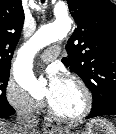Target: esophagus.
<instances>
[{
  "label": "esophagus",
  "mask_w": 116,
  "mask_h": 134,
  "mask_svg": "<svg viewBox=\"0 0 116 134\" xmlns=\"http://www.w3.org/2000/svg\"><path fill=\"white\" fill-rule=\"evenodd\" d=\"M44 130H45L46 132L53 133V132L56 131V128H55L54 125H52V124H50V123H46V124L44 125Z\"/></svg>",
  "instance_id": "34e87169"
}]
</instances>
